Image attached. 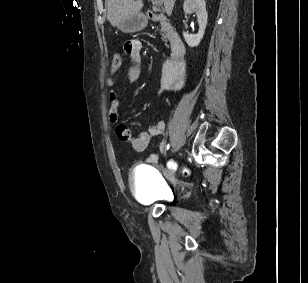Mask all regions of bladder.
<instances>
[{
    "label": "bladder",
    "mask_w": 308,
    "mask_h": 283,
    "mask_svg": "<svg viewBox=\"0 0 308 283\" xmlns=\"http://www.w3.org/2000/svg\"><path fill=\"white\" fill-rule=\"evenodd\" d=\"M129 184L135 197L144 204L162 201L168 193V184L158 171L147 166L132 169Z\"/></svg>",
    "instance_id": "bladder-1"
}]
</instances>
